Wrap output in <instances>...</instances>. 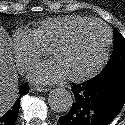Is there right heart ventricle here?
<instances>
[{
    "label": "right heart ventricle",
    "instance_id": "1",
    "mask_svg": "<svg viewBox=\"0 0 125 125\" xmlns=\"http://www.w3.org/2000/svg\"><path fill=\"white\" fill-rule=\"evenodd\" d=\"M88 19L91 18L83 16H60L46 18L37 22L32 29V32L44 48H50L52 43L70 27Z\"/></svg>",
    "mask_w": 125,
    "mask_h": 125
}]
</instances>
